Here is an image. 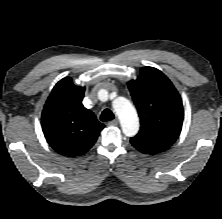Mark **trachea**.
<instances>
[{
  "label": "trachea",
  "mask_w": 222,
  "mask_h": 219,
  "mask_svg": "<svg viewBox=\"0 0 222 219\" xmlns=\"http://www.w3.org/2000/svg\"><path fill=\"white\" fill-rule=\"evenodd\" d=\"M114 118H115L114 114H113V112L110 109H104L102 111L101 116H100V120L103 121V122L111 121Z\"/></svg>",
  "instance_id": "obj_1"
}]
</instances>
